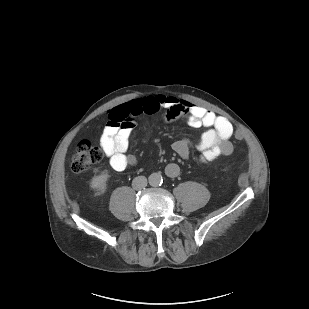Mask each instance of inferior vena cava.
<instances>
[{"label": "inferior vena cava", "mask_w": 309, "mask_h": 309, "mask_svg": "<svg viewBox=\"0 0 309 309\" xmlns=\"http://www.w3.org/2000/svg\"><path fill=\"white\" fill-rule=\"evenodd\" d=\"M147 186V178L145 176L135 177L132 181V187L136 190Z\"/></svg>", "instance_id": "602c4592"}]
</instances>
